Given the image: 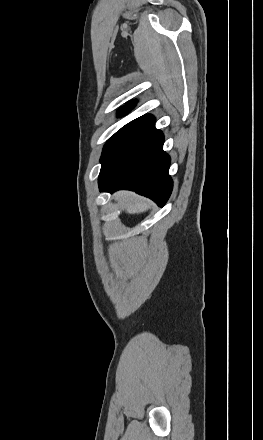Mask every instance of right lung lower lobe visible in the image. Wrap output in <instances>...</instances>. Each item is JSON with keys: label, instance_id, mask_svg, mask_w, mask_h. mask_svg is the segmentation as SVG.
<instances>
[{"label": "right lung lower lobe", "instance_id": "98d812e1", "mask_svg": "<svg viewBox=\"0 0 263 440\" xmlns=\"http://www.w3.org/2000/svg\"><path fill=\"white\" fill-rule=\"evenodd\" d=\"M163 143V133L153 124L111 174L99 179L100 191L133 190L162 207L173 187L170 157L163 151Z\"/></svg>", "mask_w": 263, "mask_h": 440}]
</instances>
